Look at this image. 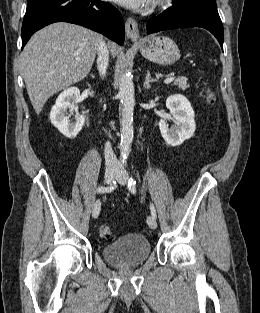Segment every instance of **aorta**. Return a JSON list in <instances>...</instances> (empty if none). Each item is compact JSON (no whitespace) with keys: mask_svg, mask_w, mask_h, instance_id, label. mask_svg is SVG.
I'll return each mask as SVG.
<instances>
[{"mask_svg":"<svg viewBox=\"0 0 260 313\" xmlns=\"http://www.w3.org/2000/svg\"><path fill=\"white\" fill-rule=\"evenodd\" d=\"M120 99L119 119H120V158L124 161L130 153L133 141V112L135 105V91L133 80L130 75L124 72L119 81Z\"/></svg>","mask_w":260,"mask_h":313,"instance_id":"obj_1","label":"aorta"}]
</instances>
